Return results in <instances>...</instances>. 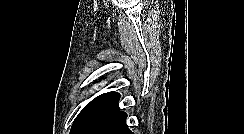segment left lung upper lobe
Masks as SVG:
<instances>
[{"instance_id": "1", "label": "left lung upper lobe", "mask_w": 244, "mask_h": 134, "mask_svg": "<svg viewBox=\"0 0 244 134\" xmlns=\"http://www.w3.org/2000/svg\"><path fill=\"white\" fill-rule=\"evenodd\" d=\"M116 92L101 94L88 103L75 118L70 134H93L106 120L120 111Z\"/></svg>"}]
</instances>
